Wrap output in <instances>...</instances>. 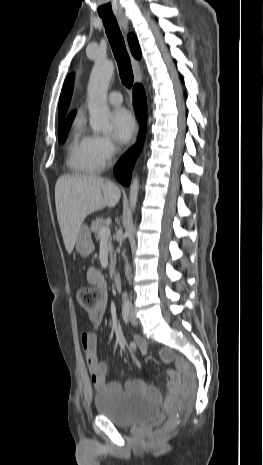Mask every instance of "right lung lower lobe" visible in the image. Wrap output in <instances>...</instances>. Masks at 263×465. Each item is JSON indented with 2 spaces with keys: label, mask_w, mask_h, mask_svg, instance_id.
<instances>
[{
  "label": "right lung lower lobe",
  "mask_w": 263,
  "mask_h": 465,
  "mask_svg": "<svg viewBox=\"0 0 263 465\" xmlns=\"http://www.w3.org/2000/svg\"><path fill=\"white\" fill-rule=\"evenodd\" d=\"M133 103L140 122V133L137 144L125 153L114 168V174L120 183L128 186L136 159L142 149L146 133L147 103L143 87L136 84L133 89Z\"/></svg>",
  "instance_id": "obj_1"
}]
</instances>
